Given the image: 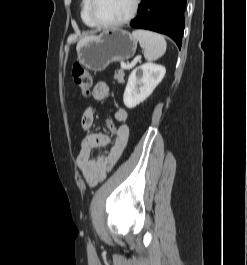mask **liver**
<instances>
[{
	"instance_id": "1",
	"label": "liver",
	"mask_w": 247,
	"mask_h": 265,
	"mask_svg": "<svg viewBox=\"0 0 247 265\" xmlns=\"http://www.w3.org/2000/svg\"><path fill=\"white\" fill-rule=\"evenodd\" d=\"M91 37L92 36H87V37L83 38L81 41H79L78 45H80L83 41H85V40H87V39H89ZM78 45H77V47H78Z\"/></svg>"
}]
</instances>
